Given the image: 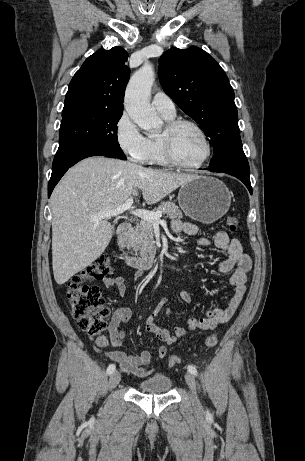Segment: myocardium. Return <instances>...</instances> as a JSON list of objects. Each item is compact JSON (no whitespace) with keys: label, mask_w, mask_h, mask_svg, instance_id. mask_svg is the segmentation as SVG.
I'll return each mask as SVG.
<instances>
[{"label":"myocardium","mask_w":305,"mask_h":461,"mask_svg":"<svg viewBox=\"0 0 305 461\" xmlns=\"http://www.w3.org/2000/svg\"><path fill=\"white\" fill-rule=\"evenodd\" d=\"M184 126H190L195 129L199 135L201 136L206 152L204 157L195 164H187L182 162L176 155L174 149V140L177 132L180 128ZM160 143L162 147V151L164 154L165 159L173 166H176L181 169L185 170H195L201 168L210 158L212 154V145L211 142L206 134V132L202 129V127L194 121L187 120V119H176L168 122L165 127L163 134L160 136Z\"/></svg>","instance_id":"f54148a6"}]
</instances>
